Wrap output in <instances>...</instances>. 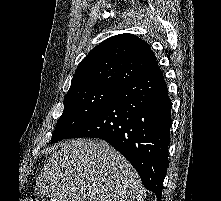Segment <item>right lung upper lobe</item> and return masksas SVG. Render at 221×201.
<instances>
[{"instance_id":"obj_1","label":"right lung upper lobe","mask_w":221,"mask_h":201,"mask_svg":"<svg viewBox=\"0 0 221 201\" xmlns=\"http://www.w3.org/2000/svg\"><path fill=\"white\" fill-rule=\"evenodd\" d=\"M157 67L146 42L133 34H119L96 46L80 62L69 91L94 86L120 90Z\"/></svg>"}]
</instances>
